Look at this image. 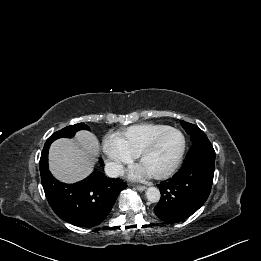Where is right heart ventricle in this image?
<instances>
[{
  "label": "right heart ventricle",
  "mask_w": 261,
  "mask_h": 261,
  "mask_svg": "<svg viewBox=\"0 0 261 261\" xmlns=\"http://www.w3.org/2000/svg\"><path fill=\"white\" fill-rule=\"evenodd\" d=\"M168 127L155 123L136 124L116 133L114 137L131 157H137L152 137Z\"/></svg>",
  "instance_id": "right-heart-ventricle-1"
}]
</instances>
